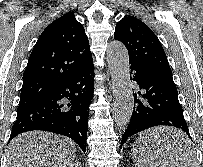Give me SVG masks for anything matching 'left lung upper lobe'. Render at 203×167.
Instances as JSON below:
<instances>
[{"instance_id": "5c2ea615", "label": "left lung upper lobe", "mask_w": 203, "mask_h": 167, "mask_svg": "<svg viewBox=\"0 0 203 167\" xmlns=\"http://www.w3.org/2000/svg\"><path fill=\"white\" fill-rule=\"evenodd\" d=\"M114 38L126 46L130 63H139L160 76L172 78L163 47L144 22L134 16H125L117 23Z\"/></svg>"}]
</instances>
